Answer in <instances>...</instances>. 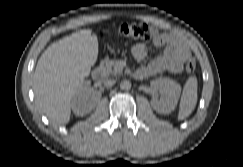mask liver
Here are the masks:
<instances>
[{"label": "liver", "mask_w": 243, "mask_h": 167, "mask_svg": "<svg viewBox=\"0 0 243 167\" xmlns=\"http://www.w3.org/2000/svg\"><path fill=\"white\" fill-rule=\"evenodd\" d=\"M97 57V37L86 29L51 44L39 58L34 73L36 103L56 124L69 122L71 100Z\"/></svg>", "instance_id": "1"}]
</instances>
